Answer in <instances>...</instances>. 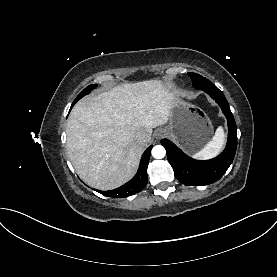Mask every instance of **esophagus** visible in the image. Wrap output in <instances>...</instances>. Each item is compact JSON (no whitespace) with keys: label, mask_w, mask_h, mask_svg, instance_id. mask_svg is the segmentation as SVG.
I'll return each instance as SVG.
<instances>
[{"label":"esophagus","mask_w":277,"mask_h":277,"mask_svg":"<svg viewBox=\"0 0 277 277\" xmlns=\"http://www.w3.org/2000/svg\"><path fill=\"white\" fill-rule=\"evenodd\" d=\"M166 135V132L164 131V130H158L157 132H156V137L157 138H162L163 136H165Z\"/></svg>","instance_id":"34e87169"}]
</instances>
